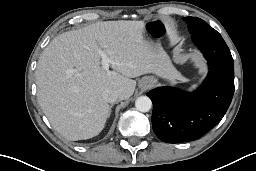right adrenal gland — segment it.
Returning <instances> with one entry per match:
<instances>
[{"label": "right adrenal gland", "instance_id": "obj_1", "mask_svg": "<svg viewBox=\"0 0 256 171\" xmlns=\"http://www.w3.org/2000/svg\"><path fill=\"white\" fill-rule=\"evenodd\" d=\"M112 107H113V104L109 106L108 117H110Z\"/></svg>", "mask_w": 256, "mask_h": 171}]
</instances>
